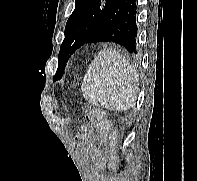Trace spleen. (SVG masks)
Wrapping results in <instances>:
<instances>
[{
  "label": "spleen",
  "mask_w": 197,
  "mask_h": 181,
  "mask_svg": "<svg viewBox=\"0 0 197 181\" xmlns=\"http://www.w3.org/2000/svg\"><path fill=\"white\" fill-rule=\"evenodd\" d=\"M136 68L117 50L100 51L88 67L81 90L93 105L112 111H126L136 101Z\"/></svg>",
  "instance_id": "1"
}]
</instances>
